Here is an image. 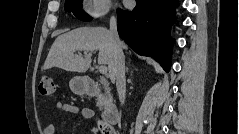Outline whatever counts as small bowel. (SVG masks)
Segmentation results:
<instances>
[{"instance_id": "c3829d8e", "label": "small bowel", "mask_w": 239, "mask_h": 134, "mask_svg": "<svg viewBox=\"0 0 239 134\" xmlns=\"http://www.w3.org/2000/svg\"><path fill=\"white\" fill-rule=\"evenodd\" d=\"M55 109L58 112H68V113H73V114L80 112L81 116L84 119H91L94 116V111L89 106H84V107L79 108L76 105L67 104V103L59 101V102L55 103ZM44 133L45 134H56L57 133L56 126L53 124L46 126L44 129Z\"/></svg>"}]
</instances>
